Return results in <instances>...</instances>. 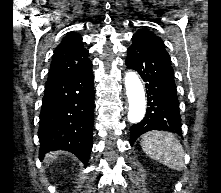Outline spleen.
<instances>
[{"instance_id": "obj_1", "label": "spleen", "mask_w": 221, "mask_h": 193, "mask_svg": "<svg viewBox=\"0 0 221 193\" xmlns=\"http://www.w3.org/2000/svg\"><path fill=\"white\" fill-rule=\"evenodd\" d=\"M143 151L172 170L184 167V150L174 134L164 131H150L141 140Z\"/></svg>"}]
</instances>
